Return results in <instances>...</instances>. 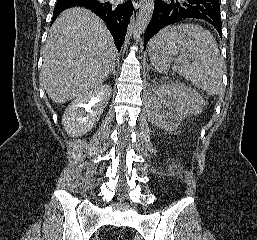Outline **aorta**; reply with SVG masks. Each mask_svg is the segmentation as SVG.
Returning a JSON list of instances; mask_svg holds the SVG:
<instances>
[{
	"label": "aorta",
	"instance_id": "obj_1",
	"mask_svg": "<svg viewBox=\"0 0 257 240\" xmlns=\"http://www.w3.org/2000/svg\"><path fill=\"white\" fill-rule=\"evenodd\" d=\"M154 10V0H144L136 18L133 37L138 39L149 24Z\"/></svg>",
	"mask_w": 257,
	"mask_h": 240
}]
</instances>
